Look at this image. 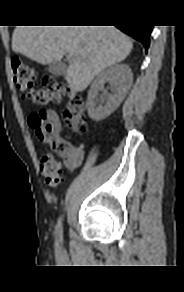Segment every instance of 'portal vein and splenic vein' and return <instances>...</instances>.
<instances>
[{"instance_id": "obj_1", "label": "portal vein and splenic vein", "mask_w": 184, "mask_h": 292, "mask_svg": "<svg viewBox=\"0 0 184 292\" xmlns=\"http://www.w3.org/2000/svg\"><path fill=\"white\" fill-rule=\"evenodd\" d=\"M68 59H72V54H68Z\"/></svg>"}]
</instances>
